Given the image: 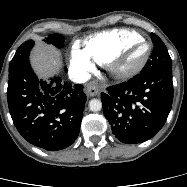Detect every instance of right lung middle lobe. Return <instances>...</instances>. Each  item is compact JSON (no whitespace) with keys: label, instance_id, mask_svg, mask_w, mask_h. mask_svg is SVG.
<instances>
[{"label":"right lung middle lobe","instance_id":"obj_1","mask_svg":"<svg viewBox=\"0 0 187 187\" xmlns=\"http://www.w3.org/2000/svg\"><path fill=\"white\" fill-rule=\"evenodd\" d=\"M46 43L53 44L57 48L64 46V37L60 34H51L44 40Z\"/></svg>","mask_w":187,"mask_h":187}]
</instances>
